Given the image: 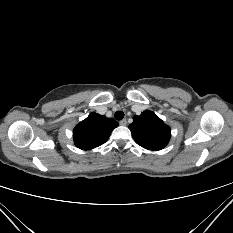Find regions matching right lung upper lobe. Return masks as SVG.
<instances>
[{
	"label": "right lung upper lobe",
	"instance_id": "obj_1",
	"mask_svg": "<svg viewBox=\"0 0 233 233\" xmlns=\"http://www.w3.org/2000/svg\"><path fill=\"white\" fill-rule=\"evenodd\" d=\"M118 122L95 112L76 125L73 139L76 147L90 150L104 144Z\"/></svg>",
	"mask_w": 233,
	"mask_h": 233
}]
</instances>
